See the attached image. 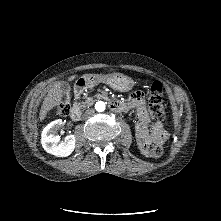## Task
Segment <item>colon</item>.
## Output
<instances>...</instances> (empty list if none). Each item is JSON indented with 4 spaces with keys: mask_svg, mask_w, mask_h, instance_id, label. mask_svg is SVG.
<instances>
[{
    "mask_svg": "<svg viewBox=\"0 0 221 221\" xmlns=\"http://www.w3.org/2000/svg\"><path fill=\"white\" fill-rule=\"evenodd\" d=\"M163 86L160 82L152 83L150 87V97L148 101L149 113L155 119L162 120L165 118V107L162 101ZM70 111L69 100L66 99L58 107V114L67 115ZM164 153V148L161 144L153 145L148 155L152 158H160Z\"/></svg>",
    "mask_w": 221,
    "mask_h": 221,
    "instance_id": "5ec220e1",
    "label": "colon"
}]
</instances>
